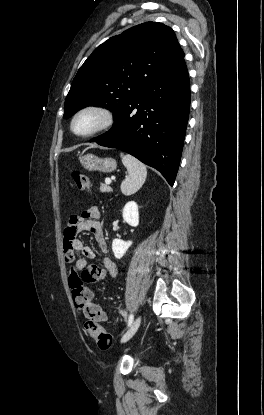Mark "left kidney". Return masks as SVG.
<instances>
[{
    "mask_svg": "<svg viewBox=\"0 0 264 415\" xmlns=\"http://www.w3.org/2000/svg\"><path fill=\"white\" fill-rule=\"evenodd\" d=\"M123 219L132 227L139 225V211L136 202L129 201L125 204L123 208ZM131 245L132 241L125 242L120 239H114L112 242V251L115 258H122Z\"/></svg>",
    "mask_w": 264,
    "mask_h": 415,
    "instance_id": "5707ae66",
    "label": "left kidney"
}]
</instances>
